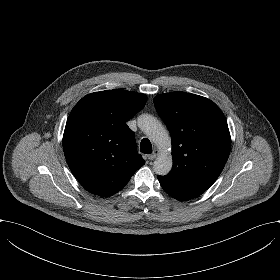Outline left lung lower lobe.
<instances>
[{"label":"left lung lower lobe","instance_id":"obj_1","mask_svg":"<svg viewBox=\"0 0 280 280\" xmlns=\"http://www.w3.org/2000/svg\"><path fill=\"white\" fill-rule=\"evenodd\" d=\"M163 187V189L165 190V192L167 193V194H169V190L167 189V188H165L164 186H162ZM175 199H178V200H181V201H186V200H183V199H180V198H178V197H174Z\"/></svg>","mask_w":280,"mask_h":280}]
</instances>
